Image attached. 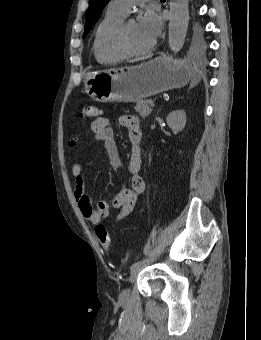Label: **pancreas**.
<instances>
[{
  "instance_id": "obj_1",
  "label": "pancreas",
  "mask_w": 261,
  "mask_h": 340,
  "mask_svg": "<svg viewBox=\"0 0 261 340\" xmlns=\"http://www.w3.org/2000/svg\"><path fill=\"white\" fill-rule=\"evenodd\" d=\"M153 103L152 100H140L136 103L134 107L135 111L139 113L142 118H146L152 112V109L149 108V105Z\"/></svg>"
}]
</instances>
